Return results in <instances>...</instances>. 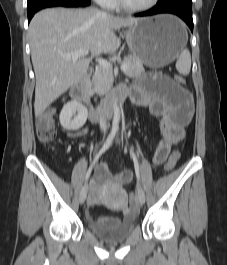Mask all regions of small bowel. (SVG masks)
Listing matches in <instances>:
<instances>
[{"mask_svg":"<svg viewBox=\"0 0 227 265\" xmlns=\"http://www.w3.org/2000/svg\"><path fill=\"white\" fill-rule=\"evenodd\" d=\"M128 91V88L122 86ZM132 102L146 110L155 117L160 118V140L153 155V164L160 165L168 157L171 148L185 137V127L193 116V101L190 93L176 84L170 77L154 73L143 72L131 88ZM87 127L68 134L70 138H80L88 133ZM133 173L129 169L117 174L111 172L106 164H101L96 169V178L92 182L89 204H97L102 184L122 187L130 183ZM119 218L100 217L103 222H114Z\"/></svg>","mask_w":227,"mask_h":265,"instance_id":"small-bowel-1","label":"small bowel"}]
</instances>
